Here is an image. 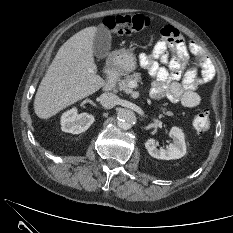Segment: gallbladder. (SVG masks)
<instances>
[{
    "mask_svg": "<svg viewBox=\"0 0 233 233\" xmlns=\"http://www.w3.org/2000/svg\"><path fill=\"white\" fill-rule=\"evenodd\" d=\"M111 33L104 25H99L93 42V52L97 58H105L111 50Z\"/></svg>",
    "mask_w": 233,
    "mask_h": 233,
    "instance_id": "gallbladder-1",
    "label": "gallbladder"
}]
</instances>
